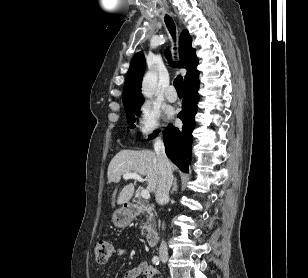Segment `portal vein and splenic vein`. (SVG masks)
<instances>
[{"label": "portal vein and splenic vein", "instance_id": "18ae733b", "mask_svg": "<svg viewBox=\"0 0 308 278\" xmlns=\"http://www.w3.org/2000/svg\"><path fill=\"white\" fill-rule=\"evenodd\" d=\"M123 178L124 179H135L139 182H144V179L137 173H133V172H128V173H124L123 174ZM141 196L144 199H149L150 198V193L147 189H142L141 190Z\"/></svg>", "mask_w": 308, "mask_h": 278}]
</instances>
